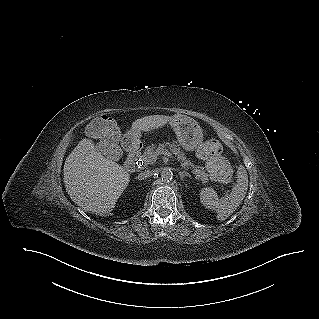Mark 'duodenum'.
Wrapping results in <instances>:
<instances>
[{
	"mask_svg": "<svg viewBox=\"0 0 319 319\" xmlns=\"http://www.w3.org/2000/svg\"><path fill=\"white\" fill-rule=\"evenodd\" d=\"M122 145L127 152V159L124 168L127 172H133L139 166L140 145L135 138L125 137Z\"/></svg>",
	"mask_w": 319,
	"mask_h": 319,
	"instance_id": "duodenum-1",
	"label": "duodenum"
}]
</instances>
